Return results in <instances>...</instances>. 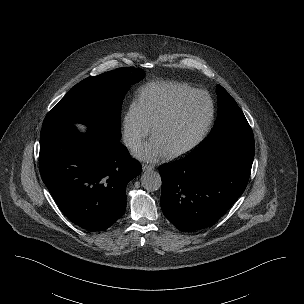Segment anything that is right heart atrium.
<instances>
[{
	"label": "right heart atrium",
	"instance_id": "d8ad5b80",
	"mask_svg": "<svg viewBox=\"0 0 304 304\" xmlns=\"http://www.w3.org/2000/svg\"><path fill=\"white\" fill-rule=\"evenodd\" d=\"M151 126L146 121L136 100L128 106L122 119V136L129 149L137 148L150 134Z\"/></svg>",
	"mask_w": 304,
	"mask_h": 304
}]
</instances>
